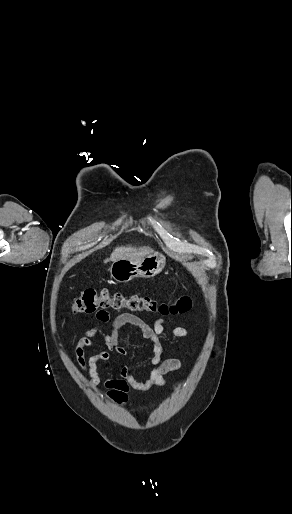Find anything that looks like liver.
<instances>
[{
  "label": "liver",
  "mask_w": 292,
  "mask_h": 514,
  "mask_svg": "<svg viewBox=\"0 0 292 514\" xmlns=\"http://www.w3.org/2000/svg\"><path fill=\"white\" fill-rule=\"evenodd\" d=\"M153 250L151 248H125V246H122V248H115L113 250L110 260L112 262H115V260H140V258H143V256H147V254H151Z\"/></svg>",
  "instance_id": "1"
}]
</instances>
